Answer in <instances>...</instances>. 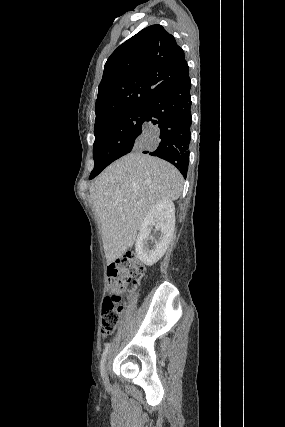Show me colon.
I'll use <instances>...</instances> for the list:
<instances>
[{
	"instance_id": "5ec220e1",
	"label": "colon",
	"mask_w": 285,
	"mask_h": 427,
	"mask_svg": "<svg viewBox=\"0 0 285 427\" xmlns=\"http://www.w3.org/2000/svg\"><path fill=\"white\" fill-rule=\"evenodd\" d=\"M143 272L142 264L134 257L118 259L108 268V293L102 308L101 333L104 336L110 335L116 328L123 312L122 296L130 285L137 283V277Z\"/></svg>"
}]
</instances>
